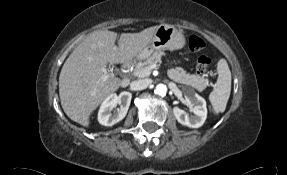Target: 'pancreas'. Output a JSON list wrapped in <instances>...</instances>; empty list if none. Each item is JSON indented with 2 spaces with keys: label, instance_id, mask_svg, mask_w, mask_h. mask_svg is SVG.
Listing matches in <instances>:
<instances>
[{
  "label": "pancreas",
  "instance_id": "cf45deb5",
  "mask_svg": "<svg viewBox=\"0 0 287 175\" xmlns=\"http://www.w3.org/2000/svg\"><path fill=\"white\" fill-rule=\"evenodd\" d=\"M163 55H164L163 52H154L146 61L140 62L136 66L135 71H141L148 68L152 64L161 63V57ZM167 75L171 80L177 83L191 86L192 88L200 92L203 91L208 86L207 79H204L199 75L189 74L181 67L169 69L167 71Z\"/></svg>",
  "mask_w": 287,
  "mask_h": 175
}]
</instances>
